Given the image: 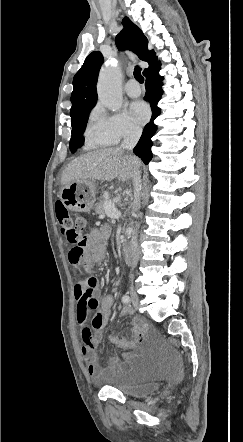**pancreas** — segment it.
<instances>
[{"label": "pancreas", "instance_id": "cf45deb5", "mask_svg": "<svg viewBox=\"0 0 243 442\" xmlns=\"http://www.w3.org/2000/svg\"><path fill=\"white\" fill-rule=\"evenodd\" d=\"M109 202L114 204V202L112 200H110V199H102V200H100V202L96 204V213L101 215V216H105L106 212H105L104 206H105L106 203H109Z\"/></svg>", "mask_w": 243, "mask_h": 442}]
</instances>
